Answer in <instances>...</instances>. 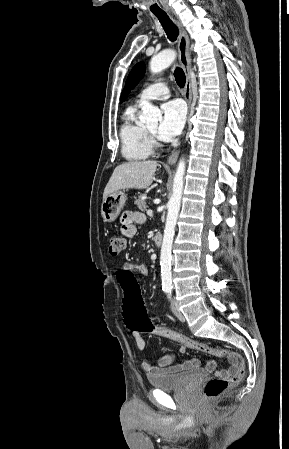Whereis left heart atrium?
I'll return each mask as SVG.
<instances>
[{
	"mask_svg": "<svg viewBox=\"0 0 289 449\" xmlns=\"http://www.w3.org/2000/svg\"><path fill=\"white\" fill-rule=\"evenodd\" d=\"M161 112L162 118L158 127V136L162 141H173L184 126V105L178 100H171L162 104Z\"/></svg>",
	"mask_w": 289,
	"mask_h": 449,
	"instance_id": "obj_1",
	"label": "left heart atrium"
}]
</instances>
